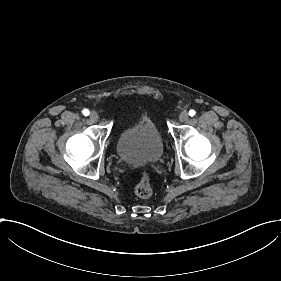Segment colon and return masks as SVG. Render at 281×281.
Wrapping results in <instances>:
<instances>
[{
    "mask_svg": "<svg viewBox=\"0 0 281 281\" xmlns=\"http://www.w3.org/2000/svg\"><path fill=\"white\" fill-rule=\"evenodd\" d=\"M135 175L139 180L132 186V192L137 198H147L153 193V183L151 178L145 174L142 168L135 170Z\"/></svg>",
    "mask_w": 281,
    "mask_h": 281,
    "instance_id": "colon-1",
    "label": "colon"
}]
</instances>
